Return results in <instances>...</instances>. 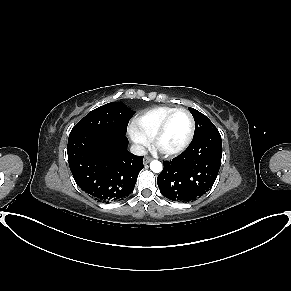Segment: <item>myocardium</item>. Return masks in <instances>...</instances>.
Masks as SVG:
<instances>
[{"mask_svg":"<svg viewBox=\"0 0 291 291\" xmlns=\"http://www.w3.org/2000/svg\"><path fill=\"white\" fill-rule=\"evenodd\" d=\"M179 112H184L189 116V119H190L189 134L181 146H179L178 148L172 149V150H165V149L161 148V146H160L161 138L163 137L164 133L166 132L171 118ZM194 133H195V119H194L192 113L186 108H176L175 110L170 112L165 117V119L162 121L161 125L159 126L158 130L156 131L155 135L152 138V143H153V146L161 154H163L165 156H175V155L182 153L183 151H185L189 147V145L191 144V142L193 140Z\"/></svg>","mask_w":291,"mask_h":291,"instance_id":"myocardium-1","label":"myocardium"}]
</instances>
